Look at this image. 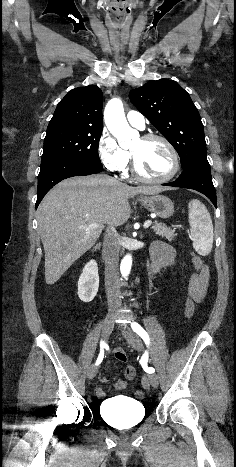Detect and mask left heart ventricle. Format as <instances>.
Here are the masks:
<instances>
[{"label": "left heart ventricle", "instance_id": "left-heart-ventricle-1", "mask_svg": "<svg viewBox=\"0 0 236 467\" xmlns=\"http://www.w3.org/2000/svg\"><path fill=\"white\" fill-rule=\"evenodd\" d=\"M130 150L136 157L139 171L147 177L160 178L172 169V157L161 141L145 142L140 138Z\"/></svg>", "mask_w": 236, "mask_h": 467}]
</instances>
